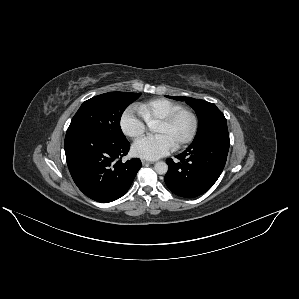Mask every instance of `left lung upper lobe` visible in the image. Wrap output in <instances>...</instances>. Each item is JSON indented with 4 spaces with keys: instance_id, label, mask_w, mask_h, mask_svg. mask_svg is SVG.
I'll return each mask as SVG.
<instances>
[{
    "instance_id": "5c2ea615",
    "label": "left lung upper lobe",
    "mask_w": 299,
    "mask_h": 299,
    "mask_svg": "<svg viewBox=\"0 0 299 299\" xmlns=\"http://www.w3.org/2000/svg\"><path fill=\"white\" fill-rule=\"evenodd\" d=\"M169 98L185 101L196 112L199 123L198 131L192 143H195L210 134L216 132L228 131L227 121L224 114L216 107L215 104L201 99H194L182 96H167Z\"/></svg>"
}]
</instances>
